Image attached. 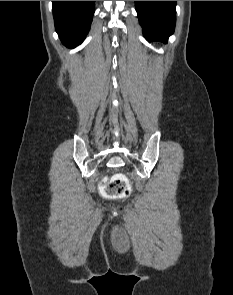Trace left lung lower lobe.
Here are the masks:
<instances>
[{
    "instance_id": "1",
    "label": "left lung lower lobe",
    "mask_w": 233,
    "mask_h": 295,
    "mask_svg": "<svg viewBox=\"0 0 233 295\" xmlns=\"http://www.w3.org/2000/svg\"><path fill=\"white\" fill-rule=\"evenodd\" d=\"M135 7L146 40L167 43L175 28L176 1H135Z\"/></svg>"
}]
</instances>
